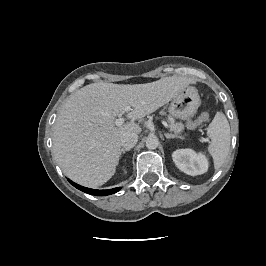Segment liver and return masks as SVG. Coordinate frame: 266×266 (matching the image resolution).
<instances>
[{"instance_id": "1", "label": "liver", "mask_w": 266, "mask_h": 266, "mask_svg": "<svg viewBox=\"0 0 266 266\" xmlns=\"http://www.w3.org/2000/svg\"><path fill=\"white\" fill-rule=\"evenodd\" d=\"M193 80L165 77L146 84L92 83L73 93L62 106L53 132V153L67 177L87 187L106 183L116 171L123 134L140 133L134 120L167 104ZM131 107L130 122L115 118Z\"/></svg>"}]
</instances>
